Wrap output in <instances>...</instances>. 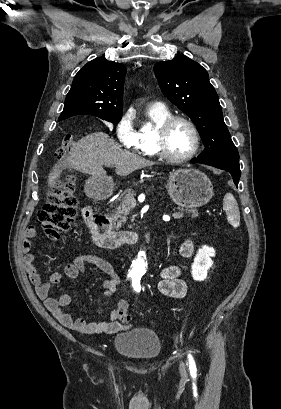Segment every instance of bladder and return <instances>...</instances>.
<instances>
[{"instance_id": "obj_1", "label": "bladder", "mask_w": 281, "mask_h": 409, "mask_svg": "<svg viewBox=\"0 0 281 409\" xmlns=\"http://www.w3.org/2000/svg\"><path fill=\"white\" fill-rule=\"evenodd\" d=\"M112 345L117 354L136 361H152L163 353L162 339L152 328H126L117 333Z\"/></svg>"}]
</instances>
